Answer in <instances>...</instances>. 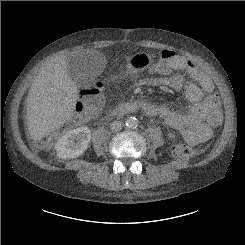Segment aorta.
<instances>
[{"label":"aorta","mask_w":245,"mask_h":245,"mask_svg":"<svg viewBox=\"0 0 245 245\" xmlns=\"http://www.w3.org/2000/svg\"><path fill=\"white\" fill-rule=\"evenodd\" d=\"M126 125L129 128H136L138 126V120L134 117H130L126 120Z\"/></svg>","instance_id":"obj_1"}]
</instances>
